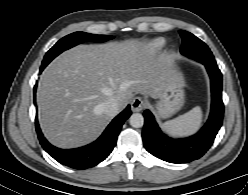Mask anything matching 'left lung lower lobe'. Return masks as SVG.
I'll return each instance as SVG.
<instances>
[{"mask_svg": "<svg viewBox=\"0 0 248 195\" xmlns=\"http://www.w3.org/2000/svg\"><path fill=\"white\" fill-rule=\"evenodd\" d=\"M203 63L211 80L212 104L208 121L201 130L184 139L166 136L149 110L144 112L142 138L146 150L155 157L170 163H188L202 157L211 147L218 133L224 113L222 101V74L215 60L204 57ZM201 63V62H200Z\"/></svg>", "mask_w": 248, "mask_h": 195, "instance_id": "left-lung-lower-lobe-1", "label": "left lung lower lobe"}]
</instances>
